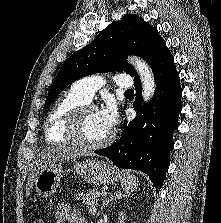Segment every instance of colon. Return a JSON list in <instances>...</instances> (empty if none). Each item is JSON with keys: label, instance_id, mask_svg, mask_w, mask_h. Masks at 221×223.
<instances>
[{"label": "colon", "instance_id": "5ec220e1", "mask_svg": "<svg viewBox=\"0 0 221 223\" xmlns=\"http://www.w3.org/2000/svg\"><path fill=\"white\" fill-rule=\"evenodd\" d=\"M33 223H46V221L42 218H37V219L34 220Z\"/></svg>", "mask_w": 221, "mask_h": 223}]
</instances>
